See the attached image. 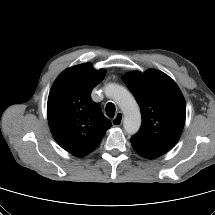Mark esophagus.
<instances>
[{
    "instance_id": "34e87169",
    "label": "esophagus",
    "mask_w": 215,
    "mask_h": 215,
    "mask_svg": "<svg viewBox=\"0 0 215 215\" xmlns=\"http://www.w3.org/2000/svg\"><path fill=\"white\" fill-rule=\"evenodd\" d=\"M111 122L113 126H120L123 122V114L118 112Z\"/></svg>"
}]
</instances>
